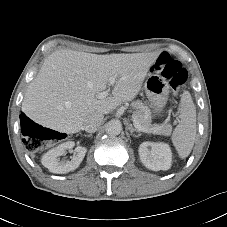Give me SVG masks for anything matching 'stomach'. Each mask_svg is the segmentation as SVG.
<instances>
[{
  "label": "stomach",
  "instance_id": "0dacf381",
  "mask_svg": "<svg viewBox=\"0 0 227 227\" xmlns=\"http://www.w3.org/2000/svg\"><path fill=\"white\" fill-rule=\"evenodd\" d=\"M143 89L154 112H161L168 100L169 86L167 82L160 75L150 73L145 80Z\"/></svg>",
  "mask_w": 227,
  "mask_h": 227
}]
</instances>
